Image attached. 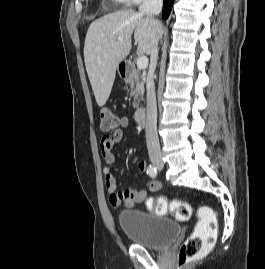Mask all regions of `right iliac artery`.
Wrapping results in <instances>:
<instances>
[{"label":"right iliac artery","instance_id":"obj_1","mask_svg":"<svg viewBox=\"0 0 265 269\" xmlns=\"http://www.w3.org/2000/svg\"><path fill=\"white\" fill-rule=\"evenodd\" d=\"M147 174L150 177L155 178L157 176V169L154 166L149 165V167L147 169Z\"/></svg>","mask_w":265,"mask_h":269}]
</instances>
